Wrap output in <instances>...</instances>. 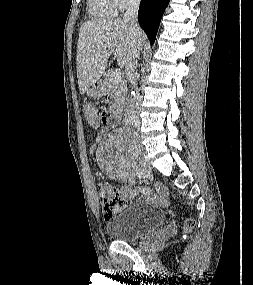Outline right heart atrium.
<instances>
[{
  "label": "right heart atrium",
  "mask_w": 253,
  "mask_h": 285,
  "mask_svg": "<svg viewBox=\"0 0 253 285\" xmlns=\"http://www.w3.org/2000/svg\"><path fill=\"white\" fill-rule=\"evenodd\" d=\"M118 10H125L134 5H137L140 0H113Z\"/></svg>",
  "instance_id": "1"
}]
</instances>
